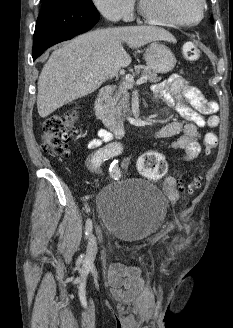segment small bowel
Instances as JSON below:
<instances>
[{
    "instance_id": "c3829d8e",
    "label": "small bowel",
    "mask_w": 233,
    "mask_h": 328,
    "mask_svg": "<svg viewBox=\"0 0 233 328\" xmlns=\"http://www.w3.org/2000/svg\"><path fill=\"white\" fill-rule=\"evenodd\" d=\"M151 91L155 98L160 99L183 118V121H173L160 128L155 137H176L172 147L182 151L184 160L196 159L201 152L199 129L214 128L219 124L218 104L207 99L196 86L178 74L155 84ZM113 138L112 133L100 129L97 137L88 142V147L102 150L109 145L102 146L109 144ZM128 164L129 159L126 158L122 166L127 168ZM163 189L170 201L178 200L177 181L174 177L165 178ZM107 281L113 297L118 301L130 302L144 291V280L136 266L112 264L107 271Z\"/></svg>"
}]
</instances>
